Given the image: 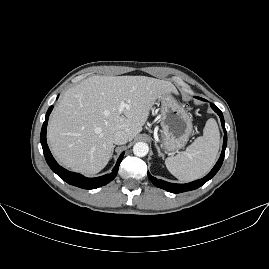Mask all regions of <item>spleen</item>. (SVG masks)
<instances>
[{"label": "spleen", "instance_id": "obj_1", "mask_svg": "<svg viewBox=\"0 0 269 269\" xmlns=\"http://www.w3.org/2000/svg\"><path fill=\"white\" fill-rule=\"evenodd\" d=\"M220 132L215 119L207 120L203 136L198 137L186 151L168 157L165 165L178 180L190 182L205 176L213 167L219 151Z\"/></svg>", "mask_w": 269, "mask_h": 269}]
</instances>
